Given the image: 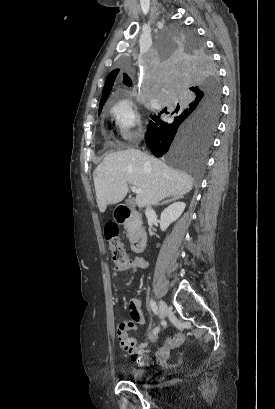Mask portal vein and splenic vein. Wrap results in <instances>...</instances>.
I'll list each match as a JSON object with an SVG mask.
<instances>
[{"label":"portal vein and splenic vein","instance_id":"18ae733b","mask_svg":"<svg viewBox=\"0 0 275 409\" xmlns=\"http://www.w3.org/2000/svg\"><path fill=\"white\" fill-rule=\"evenodd\" d=\"M132 192H137V194H139V192H142L141 188H136V186H132Z\"/></svg>","mask_w":275,"mask_h":409}]
</instances>
